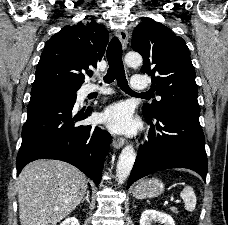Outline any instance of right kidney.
<instances>
[{
	"instance_id": "obj_1",
	"label": "right kidney",
	"mask_w": 228,
	"mask_h": 225,
	"mask_svg": "<svg viewBox=\"0 0 228 225\" xmlns=\"http://www.w3.org/2000/svg\"><path fill=\"white\" fill-rule=\"evenodd\" d=\"M61 225H79V223L75 217H68V219H65Z\"/></svg>"
}]
</instances>
